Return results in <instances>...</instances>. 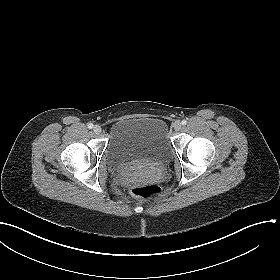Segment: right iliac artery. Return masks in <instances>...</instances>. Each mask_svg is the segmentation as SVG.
<instances>
[{
    "mask_svg": "<svg viewBox=\"0 0 280 280\" xmlns=\"http://www.w3.org/2000/svg\"><path fill=\"white\" fill-rule=\"evenodd\" d=\"M87 126L89 129H92L94 125L92 123H89Z\"/></svg>",
    "mask_w": 280,
    "mask_h": 280,
    "instance_id": "obj_1",
    "label": "right iliac artery"
}]
</instances>
